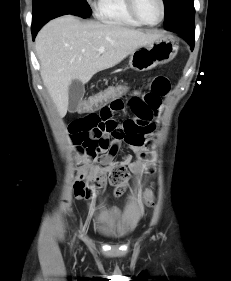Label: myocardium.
<instances>
[{"instance_id":"obj_1","label":"myocardium","mask_w":231,"mask_h":281,"mask_svg":"<svg viewBox=\"0 0 231 281\" xmlns=\"http://www.w3.org/2000/svg\"><path fill=\"white\" fill-rule=\"evenodd\" d=\"M126 3H127V7L129 9V12L131 13V15L142 25L149 26V27H155V26L160 25L165 19L166 5H165L164 0H160L161 17L156 23H149L141 17V15L139 14L138 9H137L136 0H126Z\"/></svg>"}]
</instances>
